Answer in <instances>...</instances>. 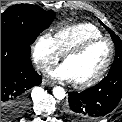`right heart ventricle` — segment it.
<instances>
[{
  "mask_svg": "<svg viewBox=\"0 0 122 122\" xmlns=\"http://www.w3.org/2000/svg\"><path fill=\"white\" fill-rule=\"evenodd\" d=\"M103 36L102 32L93 24L83 22L59 28L53 35L55 45L61 55L83 41Z\"/></svg>",
  "mask_w": 122,
  "mask_h": 122,
  "instance_id": "right-heart-ventricle-1",
  "label": "right heart ventricle"
}]
</instances>
